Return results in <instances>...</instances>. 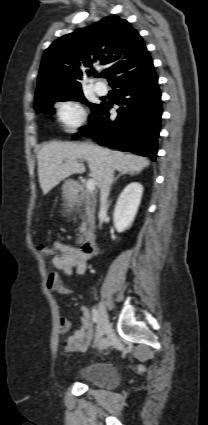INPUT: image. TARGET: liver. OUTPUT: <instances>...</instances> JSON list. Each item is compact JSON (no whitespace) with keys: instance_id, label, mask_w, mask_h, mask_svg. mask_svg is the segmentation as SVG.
<instances>
[{"instance_id":"1","label":"liver","mask_w":208,"mask_h":425,"mask_svg":"<svg viewBox=\"0 0 208 425\" xmlns=\"http://www.w3.org/2000/svg\"><path fill=\"white\" fill-rule=\"evenodd\" d=\"M40 187L46 195L65 178L83 173L85 167L77 159H85L96 185L101 187L105 168L109 162L117 171L139 173L150 162L144 157L112 151L87 143L51 142L44 145L37 154ZM65 161L60 163V161Z\"/></svg>"}]
</instances>
